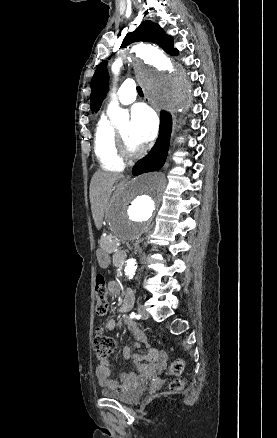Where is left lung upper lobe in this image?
Instances as JSON below:
<instances>
[{
    "instance_id": "5c2ea615",
    "label": "left lung upper lobe",
    "mask_w": 277,
    "mask_h": 438,
    "mask_svg": "<svg viewBox=\"0 0 277 438\" xmlns=\"http://www.w3.org/2000/svg\"><path fill=\"white\" fill-rule=\"evenodd\" d=\"M137 41L153 42L158 44L170 55H176L177 50L173 47L172 38L165 34L163 29L152 21H144L131 33H128L123 40V47ZM107 61L101 62L91 80V111L97 112L108 91Z\"/></svg>"
}]
</instances>
